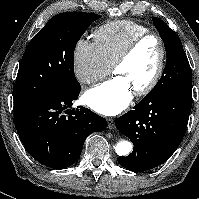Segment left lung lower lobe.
Returning a JSON list of instances; mask_svg holds the SVG:
<instances>
[{"label": "left lung lower lobe", "mask_w": 199, "mask_h": 199, "mask_svg": "<svg viewBox=\"0 0 199 199\" xmlns=\"http://www.w3.org/2000/svg\"><path fill=\"white\" fill-rule=\"evenodd\" d=\"M192 106L191 90H176L142 99L134 110L116 119L117 129L133 143V152L117 160L124 168L141 172L164 163L186 132Z\"/></svg>", "instance_id": "left-lung-lower-lobe-1"}]
</instances>
